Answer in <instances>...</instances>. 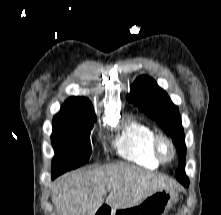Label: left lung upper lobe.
Here are the masks:
<instances>
[{"mask_svg": "<svg viewBox=\"0 0 221 215\" xmlns=\"http://www.w3.org/2000/svg\"><path fill=\"white\" fill-rule=\"evenodd\" d=\"M127 99L155 120L166 134L172 137L180 161L176 178L189 182L185 174V136L178 107L171 102L167 93L146 75L139 76L135 80Z\"/></svg>", "mask_w": 221, "mask_h": 215, "instance_id": "1", "label": "left lung upper lobe"}]
</instances>
